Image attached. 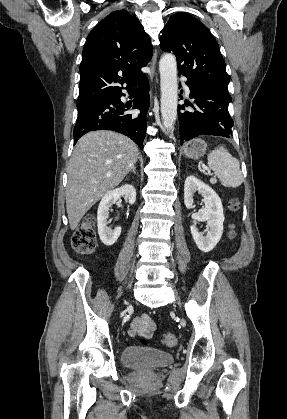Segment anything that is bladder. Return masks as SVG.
Wrapping results in <instances>:
<instances>
[{
  "mask_svg": "<svg viewBox=\"0 0 287 419\" xmlns=\"http://www.w3.org/2000/svg\"><path fill=\"white\" fill-rule=\"evenodd\" d=\"M122 362L132 369H155L171 364L173 356L155 348L132 345L123 350Z\"/></svg>",
  "mask_w": 287,
  "mask_h": 419,
  "instance_id": "1",
  "label": "bladder"
}]
</instances>
